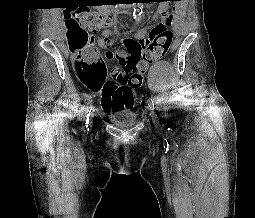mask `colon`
Wrapping results in <instances>:
<instances>
[{
  "label": "colon",
  "instance_id": "5ec220e1",
  "mask_svg": "<svg viewBox=\"0 0 255 218\" xmlns=\"http://www.w3.org/2000/svg\"><path fill=\"white\" fill-rule=\"evenodd\" d=\"M64 17L68 49L78 81L93 92L102 91V105L107 111L132 109V89L142 85L147 66L162 58L170 48L172 33L167 27L172 23V15L164 14L160 22L143 28L135 38L120 39L123 51L105 53L96 47L94 33L110 28L114 21L112 16L74 8L67 10ZM114 58L119 61L126 58L123 70H108L106 60Z\"/></svg>",
  "mask_w": 255,
  "mask_h": 218
}]
</instances>
